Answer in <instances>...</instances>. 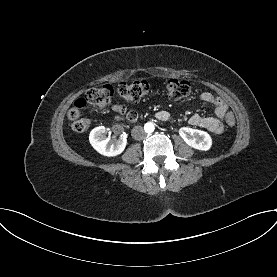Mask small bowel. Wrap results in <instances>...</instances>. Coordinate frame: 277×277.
I'll list each match as a JSON object with an SVG mask.
<instances>
[{
    "label": "small bowel",
    "instance_id": "c3829d8e",
    "mask_svg": "<svg viewBox=\"0 0 277 277\" xmlns=\"http://www.w3.org/2000/svg\"><path fill=\"white\" fill-rule=\"evenodd\" d=\"M201 99L205 103L214 106L215 117H204L194 114L189 118V123L193 126L204 128L212 133L221 134L224 131V116L228 111L226 102L210 92L202 93ZM111 109L116 113L115 120L126 119L134 121L137 118L136 112L129 110L123 104H113ZM156 118L161 122H166L170 118V114L167 111H160L156 114Z\"/></svg>",
    "mask_w": 277,
    "mask_h": 277
}]
</instances>
